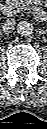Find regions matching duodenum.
Instances as JSON below:
<instances>
[{"mask_svg": "<svg viewBox=\"0 0 47 129\" xmlns=\"http://www.w3.org/2000/svg\"><path fill=\"white\" fill-rule=\"evenodd\" d=\"M2 11L8 17H13L17 13L15 6L10 1H7L3 4ZM35 15L38 19H41V20L45 19L46 17V13L41 8L35 9Z\"/></svg>", "mask_w": 47, "mask_h": 129, "instance_id": "duodenum-1", "label": "duodenum"}]
</instances>
